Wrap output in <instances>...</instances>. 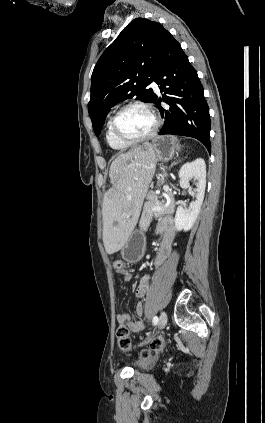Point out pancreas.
<instances>
[{"label": "pancreas", "instance_id": "1", "mask_svg": "<svg viewBox=\"0 0 265 423\" xmlns=\"http://www.w3.org/2000/svg\"><path fill=\"white\" fill-rule=\"evenodd\" d=\"M167 197L166 199L159 200V197L154 193L150 192L147 195V201L144 204L142 216L139 222V226L142 230H146L152 221V219L164 216L166 214H173L175 210V200L174 195L169 191L166 193ZM167 201H169V204L158 212H152V208L155 206H162Z\"/></svg>", "mask_w": 265, "mask_h": 423}]
</instances>
